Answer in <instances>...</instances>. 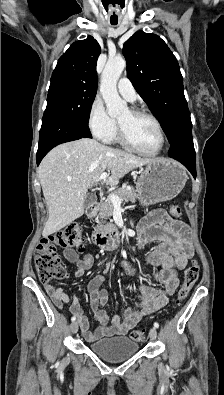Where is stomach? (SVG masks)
I'll list each match as a JSON object with an SVG mask.
<instances>
[{
	"instance_id": "obj_1",
	"label": "stomach",
	"mask_w": 224,
	"mask_h": 395,
	"mask_svg": "<svg viewBox=\"0 0 224 395\" xmlns=\"http://www.w3.org/2000/svg\"><path fill=\"white\" fill-rule=\"evenodd\" d=\"M187 175L184 168L171 159H156L141 168L136 191L142 205L168 201L184 188Z\"/></svg>"
}]
</instances>
